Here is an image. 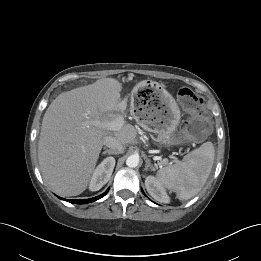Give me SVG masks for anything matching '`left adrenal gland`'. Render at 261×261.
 Returning <instances> with one entry per match:
<instances>
[{
  "instance_id": "1",
  "label": "left adrenal gland",
  "mask_w": 261,
  "mask_h": 261,
  "mask_svg": "<svg viewBox=\"0 0 261 261\" xmlns=\"http://www.w3.org/2000/svg\"><path fill=\"white\" fill-rule=\"evenodd\" d=\"M145 162H146L145 168H144L145 171H147L149 169H151L153 171L155 170L153 165L151 164V162H150V160L148 158H146Z\"/></svg>"
}]
</instances>
